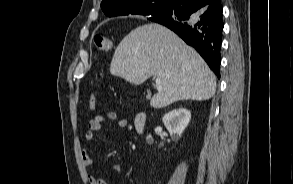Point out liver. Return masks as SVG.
Listing matches in <instances>:
<instances>
[{"label":"liver","instance_id":"liver-1","mask_svg":"<svg viewBox=\"0 0 293 184\" xmlns=\"http://www.w3.org/2000/svg\"><path fill=\"white\" fill-rule=\"evenodd\" d=\"M110 72L135 85L151 76L160 78L161 89L150 101L153 108L180 100H208L216 92V77L201 56L156 23L139 26L122 39Z\"/></svg>","mask_w":293,"mask_h":184}]
</instances>
